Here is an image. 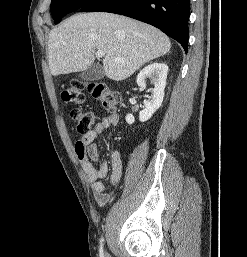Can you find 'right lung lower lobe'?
<instances>
[{
  "mask_svg": "<svg viewBox=\"0 0 247 257\" xmlns=\"http://www.w3.org/2000/svg\"><path fill=\"white\" fill-rule=\"evenodd\" d=\"M80 12H110L151 24L188 50L190 0H92Z\"/></svg>",
  "mask_w": 247,
  "mask_h": 257,
  "instance_id": "98d812e1",
  "label": "right lung lower lobe"
}]
</instances>
